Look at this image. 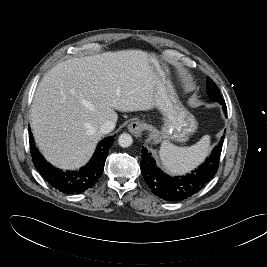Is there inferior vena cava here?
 <instances>
[{
  "label": "inferior vena cava",
  "mask_w": 267,
  "mask_h": 267,
  "mask_svg": "<svg viewBox=\"0 0 267 267\" xmlns=\"http://www.w3.org/2000/svg\"><path fill=\"white\" fill-rule=\"evenodd\" d=\"M115 128V123L112 121H105L101 127H100V132L102 134H108L110 133L113 129Z\"/></svg>",
  "instance_id": "602c4592"
}]
</instances>
